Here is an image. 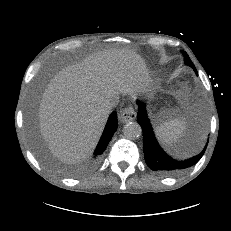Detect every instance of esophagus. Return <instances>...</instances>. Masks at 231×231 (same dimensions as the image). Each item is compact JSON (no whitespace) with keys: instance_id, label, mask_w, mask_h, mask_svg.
Segmentation results:
<instances>
[{"instance_id":"obj_1","label":"esophagus","mask_w":231,"mask_h":231,"mask_svg":"<svg viewBox=\"0 0 231 231\" xmlns=\"http://www.w3.org/2000/svg\"><path fill=\"white\" fill-rule=\"evenodd\" d=\"M137 113L132 106L126 107L120 114L119 119L122 123H127L136 118Z\"/></svg>"}]
</instances>
